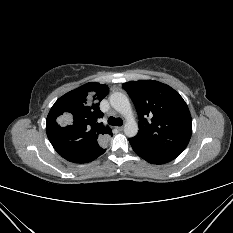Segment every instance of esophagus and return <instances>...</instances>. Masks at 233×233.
<instances>
[{
	"mask_svg": "<svg viewBox=\"0 0 233 233\" xmlns=\"http://www.w3.org/2000/svg\"><path fill=\"white\" fill-rule=\"evenodd\" d=\"M118 132L122 131L123 130V127L122 126H119V127H116L115 128Z\"/></svg>",
	"mask_w": 233,
	"mask_h": 233,
	"instance_id": "obj_1",
	"label": "esophagus"
}]
</instances>
